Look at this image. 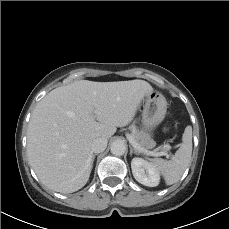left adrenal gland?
Segmentation results:
<instances>
[{
    "instance_id": "a2214340",
    "label": "left adrenal gland",
    "mask_w": 229,
    "mask_h": 229,
    "mask_svg": "<svg viewBox=\"0 0 229 229\" xmlns=\"http://www.w3.org/2000/svg\"><path fill=\"white\" fill-rule=\"evenodd\" d=\"M133 153L136 154V155H138V152L135 151V150L130 146V155H132Z\"/></svg>"
}]
</instances>
